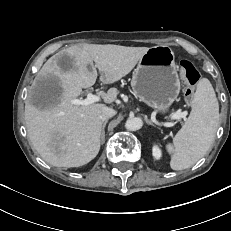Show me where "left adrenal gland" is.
<instances>
[{
    "label": "left adrenal gland",
    "instance_id": "a2214340",
    "mask_svg": "<svg viewBox=\"0 0 231 231\" xmlns=\"http://www.w3.org/2000/svg\"><path fill=\"white\" fill-rule=\"evenodd\" d=\"M146 123H148L149 125L155 126L148 118L145 119Z\"/></svg>",
    "mask_w": 231,
    "mask_h": 231
}]
</instances>
